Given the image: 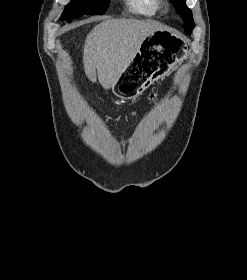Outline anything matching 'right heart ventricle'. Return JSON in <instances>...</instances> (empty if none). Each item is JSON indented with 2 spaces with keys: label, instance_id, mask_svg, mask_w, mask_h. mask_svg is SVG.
Masks as SVG:
<instances>
[{
  "label": "right heart ventricle",
  "instance_id": "e07e8e85",
  "mask_svg": "<svg viewBox=\"0 0 247 280\" xmlns=\"http://www.w3.org/2000/svg\"><path fill=\"white\" fill-rule=\"evenodd\" d=\"M128 9L136 14L152 17L159 13L160 0H125Z\"/></svg>",
  "mask_w": 247,
  "mask_h": 280
}]
</instances>
